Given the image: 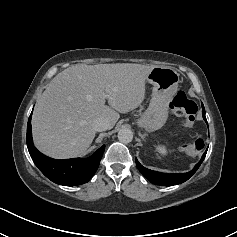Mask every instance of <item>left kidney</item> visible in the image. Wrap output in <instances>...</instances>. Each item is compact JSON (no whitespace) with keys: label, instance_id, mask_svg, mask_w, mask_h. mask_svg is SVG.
Here are the masks:
<instances>
[{"label":"left kidney","instance_id":"1","mask_svg":"<svg viewBox=\"0 0 237 237\" xmlns=\"http://www.w3.org/2000/svg\"><path fill=\"white\" fill-rule=\"evenodd\" d=\"M156 150L161 155H166V153H167V149L164 146H161V145L156 146Z\"/></svg>","mask_w":237,"mask_h":237}]
</instances>
